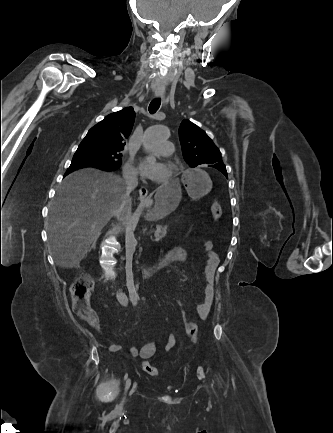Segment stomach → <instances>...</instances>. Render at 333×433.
<instances>
[{"label":"stomach","mask_w":333,"mask_h":433,"mask_svg":"<svg viewBox=\"0 0 333 433\" xmlns=\"http://www.w3.org/2000/svg\"><path fill=\"white\" fill-rule=\"evenodd\" d=\"M178 183H187V192L193 199L207 195L212 189V181L205 169H185L183 174H178ZM141 202L147 204V201Z\"/></svg>","instance_id":"obj_1"}]
</instances>
